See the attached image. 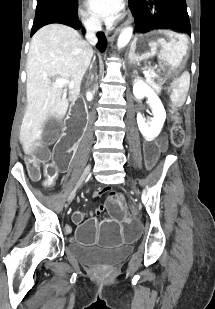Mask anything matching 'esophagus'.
Listing matches in <instances>:
<instances>
[{
	"label": "esophagus",
	"mask_w": 215,
	"mask_h": 309,
	"mask_svg": "<svg viewBox=\"0 0 215 309\" xmlns=\"http://www.w3.org/2000/svg\"><path fill=\"white\" fill-rule=\"evenodd\" d=\"M131 19H132V13L131 11H129L127 20H131ZM118 31L119 29H115L114 27H107L106 32H105L107 40L108 41L113 40V38L118 33Z\"/></svg>",
	"instance_id": "1"
}]
</instances>
